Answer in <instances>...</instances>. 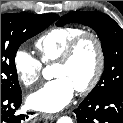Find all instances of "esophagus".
I'll return each mask as SVG.
<instances>
[{
	"instance_id": "1",
	"label": "esophagus",
	"mask_w": 123,
	"mask_h": 123,
	"mask_svg": "<svg viewBox=\"0 0 123 123\" xmlns=\"http://www.w3.org/2000/svg\"><path fill=\"white\" fill-rule=\"evenodd\" d=\"M41 116L46 119V120H54L56 119L59 115L58 114H47V113H42Z\"/></svg>"
}]
</instances>
